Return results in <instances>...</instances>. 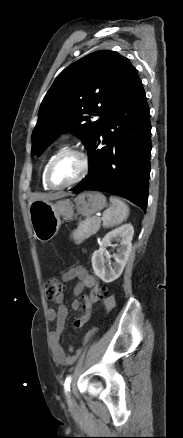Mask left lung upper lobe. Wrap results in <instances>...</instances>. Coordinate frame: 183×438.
I'll use <instances>...</instances> for the list:
<instances>
[{
    "label": "left lung upper lobe",
    "instance_id": "1",
    "mask_svg": "<svg viewBox=\"0 0 183 438\" xmlns=\"http://www.w3.org/2000/svg\"><path fill=\"white\" fill-rule=\"evenodd\" d=\"M138 78L129 60L115 51H96L55 79L45 95L32 133V153L40 155L62 129L88 148L98 127ZM92 116H100L96 121Z\"/></svg>",
    "mask_w": 183,
    "mask_h": 438
}]
</instances>
